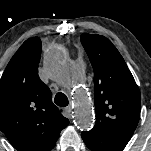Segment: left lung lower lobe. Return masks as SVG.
I'll return each mask as SVG.
<instances>
[{
  "mask_svg": "<svg viewBox=\"0 0 151 151\" xmlns=\"http://www.w3.org/2000/svg\"><path fill=\"white\" fill-rule=\"evenodd\" d=\"M85 144L92 151H122L131 137L110 135L94 131L82 132Z\"/></svg>",
  "mask_w": 151,
  "mask_h": 151,
  "instance_id": "obj_1",
  "label": "left lung lower lobe"
}]
</instances>
